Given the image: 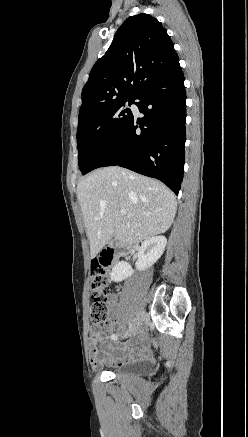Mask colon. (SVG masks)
<instances>
[{"label":"colon","mask_w":248,"mask_h":437,"mask_svg":"<svg viewBox=\"0 0 248 437\" xmlns=\"http://www.w3.org/2000/svg\"><path fill=\"white\" fill-rule=\"evenodd\" d=\"M111 263L106 257L91 260L90 286L91 298L90 317L94 324L101 325L108 320V308L103 298L107 292V269Z\"/></svg>","instance_id":"colon-1"}]
</instances>
